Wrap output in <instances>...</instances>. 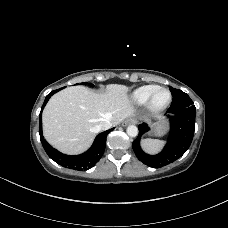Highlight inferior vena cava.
Wrapping results in <instances>:
<instances>
[{"label": "inferior vena cava", "instance_id": "602c4592", "mask_svg": "<svg viewBox=\"0 0 228 228\" xmlns=\"http://www.w3.org/2000/svg\"><path fill=\"white\" fill-rule=\"evenodd\" d=\"M113 126V123L111 121H105V122H101L98 126L97 129L98 131H104V130H108Z\"/></svg>", "mask_w": 228, "mask_h": 228}]
</instances>
